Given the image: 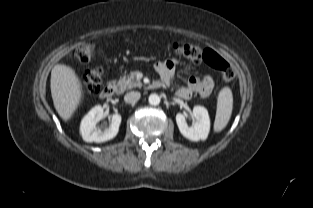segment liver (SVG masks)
<instances>
[{
  "instance_id": "1",
  "label": "liver",
  "mask_w": 313,
  "mask_h": 208,
  "mask_svg": "<svg viewBox=\"0 0 313 208\" xmlns=\"http://www.w3.org/2000/svg\"><path fill=\"white\" fill-rule=\"evenodd\" d=\"M51 95L59 116L69 120L82 98V85L75 71L64 64H57L51 71Z\"/></svg>"
}]
</instances>
